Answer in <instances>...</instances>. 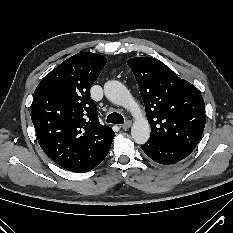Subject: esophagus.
<instances>
[{
  "label": "esophagus",
  "instance_id": "34e87169",
  "mask_svg": "<svg viewBox=\"0 0 233 233\" xmlns=\"http://www.w3.org/2000/svg\"><path fill=\"white\" fill-rule=\"evenodd\" d=\"M131 125H132V122H131L130 120H127V121L122 125V128H123L124 130H127V129H129V128L131 127Z\"/></svg>",
  "mask_w": 233,
  "mask_h": 233
}]
</instances>
